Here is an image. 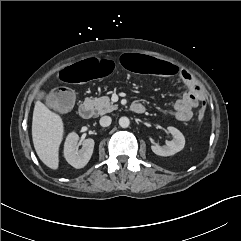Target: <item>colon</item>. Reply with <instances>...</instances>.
<instances>
[{
  "instance_id": "5ec220e1",
  "label": "colon",
  "mask_w": 241,
  "mask_h": 241,
  "mask_svg": "<svg viewBox=\"0 0 241 241\" xmlns=\"http://www.w3.org/2000/svg\"><path fill=\"white\" fill-rule=\"evenodd\" d=\"M121 66L134 73H146L156 77H177L180 69L162 57L152 55L124 53L120 58ZM116 71V64L110 58L94 57L82 60L73 65H65L59 73L60 80L72 86H81L88 81H101L110 77ZM74 101L72 91L66 88H59L48 96V102L58 110L68 109ZM205 116V106H202L198 113V119Z\"/></svg>"
}]
</instances>
